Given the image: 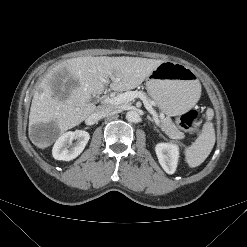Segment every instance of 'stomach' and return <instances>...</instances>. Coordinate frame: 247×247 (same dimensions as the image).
Instances as JSON below:
<instances>
[{
	"mask_svg": "<svg viewBox=\"0 0 247 247\" xmlns=\"http://www.w3.org/2000/svg\"><path fill=\"white\" fill-rule=\"evenodd\" d=\"M146 90L169 116L184 114L199 100L201 85L194 71L180 63L164 61L146 78Z\"/></svg>",
	"mask_w": 247,
	"mask_h": 247,
	"instance_id": "stomach-1",
	"label": "stomach"
}]
</instances>
